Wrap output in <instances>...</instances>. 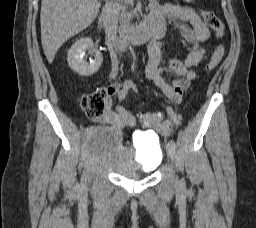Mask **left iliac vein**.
I'll return each mask as SVG.
<instances>
[{
  "mask_svg": "<svg viewBox=\"0 0 256 228\" xmlns=\"http://www.w3.org/2000/svg\"><path fill=\"white\" fill-rule=\"evenodd\" d=\"M166 152L168 155V158L172 161H174L175 159V147H173L172 145H170L169 143L166 145Z\"/></svg>",
  "mask_w": 256,
  "mask_h": 228,
  "instance_id": "obj_1",
  "label": "left iliac vein"
}]
</instances>
